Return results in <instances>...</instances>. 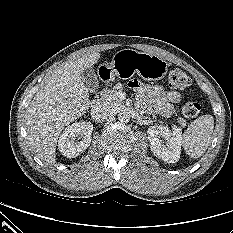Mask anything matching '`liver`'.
Masks as SVG:
<instances>
[{
    "mask_svg": "<svg viewBox=\"0 0 233 233\" xmlns=\"http://www.w3.org/2000/svg\"><path fill=\"white\" fill-rule=\"evenodd\" d=\"M98 52L64 64L45 80L30 103L27 115L28 139L38 156L54 163L61 130L88 111L89 90L81 74L98 62Z\"/></svg>",
    "mask_w": 233,
    "mask_h": 233,
    "instance_id": "1",
    "label": "liver"
}]
</instances>
